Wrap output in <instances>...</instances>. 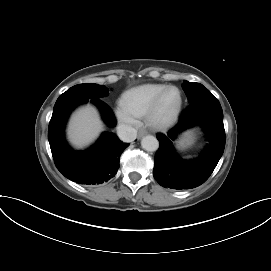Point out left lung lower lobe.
Wrapping results in <instances>:
<instances>
[{
    "mask_svg": "<svg viewBox=\"0 0 271 271\" xmlns=\"http://www.w3.org/2000/svg\"><path fill=\"white\" fill-rule=\"evenodd\" d=\"M199 125L209 139V145L193 160L180 158L173 140L182 131ZM160 148L155 155L153 176L163 187L190 189L204 183L220 160L225 147L223 111L219 101L207 97L193 102L184 111L178 124L167 135L158 134Z\"/></svg>",
    "mask_w": 271,
    "mask_h": 271,
    "instance_id": "0a47b994",
    "label": "left lung lower lobe"
}]
</instances>
